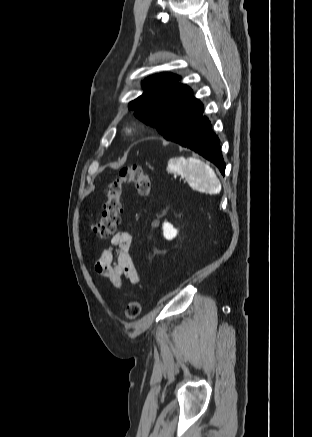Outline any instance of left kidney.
I'll list each match as a JSON object with an SVG mask.
<instances>
[{"label": "left kidney", "instance_id": "1", "mask_svg": "<svg viewBox=\"0 0 312 437\" xmlns=\"http://www.w3.org/2000/svg\"><path fill=\"white\" fill-rule=\"evenodd\" d=\"M178 231L173 227V225L169 222L163 223V236L167 240H172L177 236Z\"/></svg>", "mask_w": 312, "mask_h": 437}]
</instances>
